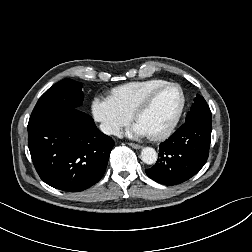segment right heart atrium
<instances>
[{
  "label": "right heart atrium",
  "mask_w": 252,
  "mask_h": 252,
  "mask_svg": "<svg viewBox=\"0 0 252 252\" xmlns=\"http://www.w3.org/2000/svg\"><path fill=\"white\" fill-rule=\"evenodd\" d=\"M91 113L100 129L108 135H117L133 118L111 96L96 95L91 101Z\"/></svg>",
  "instance_id": "obj_1"
}]
</instances>
